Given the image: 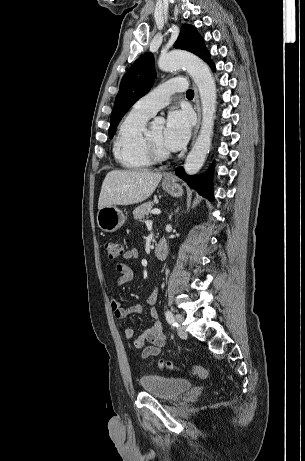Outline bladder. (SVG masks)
<instances>
[{
    "instance_id": "obj_1",
    "label": "bladder",
    "mask_w": 305,
    "mask_h": 461,
    "mask_svg": "<svg viewBox=\"0 0 305 461\" xmlns=\"http://www.w3.org/2000/svg\"><path fill=\"white\" fill-rule=\"evenodd\" d=\"M139 384L144 392L164 400L178 399L191 388V382L187 379L163 377L156 374L142 375L139 378Z\"/></svg>"
}]
</instances>
